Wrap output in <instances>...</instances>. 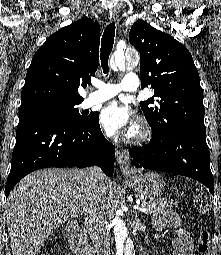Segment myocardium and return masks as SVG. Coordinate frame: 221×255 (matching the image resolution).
<instances>
[{"label":"myocardium","instance_id":"1","mask_svg":"<svg viewBox=\"0 0 221 255\" xmlns=\"http://www.w3.org/2000/svg\"><path fill=\"white\" fill-rule=\"evenodd\" d=\"M150 134V126L144 121H139L130 129L126 136V140L138 144L146 141Z\"/></svg>","mask_w":221,"mask_h":255}]
</instances>
